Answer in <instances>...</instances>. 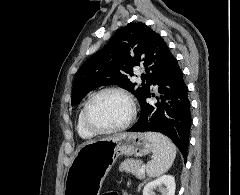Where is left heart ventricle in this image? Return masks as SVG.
<instances>
[{
	"label": "left heart ventricle",
	"mask_w": 240,
	"mask_h": 195,
	"mask_svg": "<svg viewBox=\"0 0 240 195\" xmlns=\"http://www.w3.org/2000/svg\"><path fill=\"white\" fill-rule=\"evenodd\" d=\"M128 100L117 93H107L94 101L90 120L98 128H111L123 124L130 116Z\"/></svg>",
	"instance_id": "left-heart-ventricle-1"
}]
</instances>
